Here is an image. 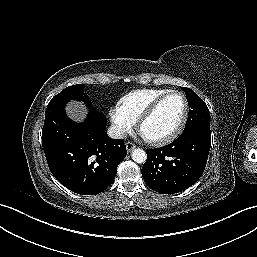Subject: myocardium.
<instances>
[{"label": "myocardium", "instance_id": "obj_1", "mask_svg": "<svg viewBox=\"0 0 257 257\" xmlns=\"http://www.w3.org/2000/svg\"><path fill=\"white\" fill-rule=\"evenodd\" d=\"M173 94L180 95L184 102L183 114H182L181 120H180L179 124L177 125V127L170 134H168L164 137H161V138L149 139V138L144 137L141 133L143 124L156 112V110L159 108V106L162 104V102ZM188 114H189V103H188V99H187L186 95L179 90H170L167 93L163 94L162 96L158 97L155 101H153L147 107V109L141 114V116L137 120V128H138L139 133L142 135V137L148 143H150L152 145H156V146L165 145V144L172 142L180 135V133L182 132V130L187 122Z\"/></svg>", "mask_w": 257, "mask_h": 257}]
</instances>
